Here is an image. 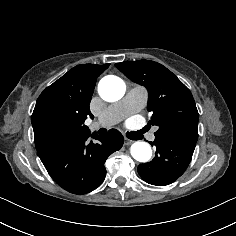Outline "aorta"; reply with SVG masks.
<instances>
[{"label":"aorta","mask_w":236,"mask_h":236,"mask_svg":"<svg viewBox=\"0 0 236 236\" xmlns=\"http://www.w3.org/2000/svg\"><path fill=\"white\" fill-rule=\"evenodd\" d=\"M126 86L123 80L114 75L102 78L98 84L100 97L107 102H115L125 94ZM132 157L139 162H148L152 156L151 146L146 142H135L130 149Z\"/></svg>","instance_id":"obj_1"}]
</instances>
